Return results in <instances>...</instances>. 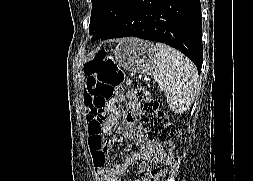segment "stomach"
<instances>
[{
    "label": "stomach",
    "mask_w": 253,
    "mask_h": 181,
    "mask_svg": "<svg viewBox=\"0 0 253 181\" xmlns=\"http://www.w3.org/2000/svg\"><path fill=\"white\" fill-rule=\"evenodd\" d=\"M113 58L117 65L134 73H149L156 65V49L153 43L136 39H122L115 50Z\"/></svg>",
    "instance_id": "1"
}]
</instances>
